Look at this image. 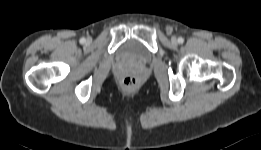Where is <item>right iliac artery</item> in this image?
Segmentation results:
<instances>
[{
	"label": "right iliac artery",
	"instance_id": "1",
	"mask_svg": "<svg viewBox=\"0 0 261 150\" xmlns=\"http://www.w3.org/2000/svg\"><path fill=\"white\" fill-rule=\"evenodd\" d=\"M85 41H86L85 38H81V39H80V43H81V44H84Z\"/></svg>",
	"mask_w": 261,
	"mask_h": 150
}]
</instances>
